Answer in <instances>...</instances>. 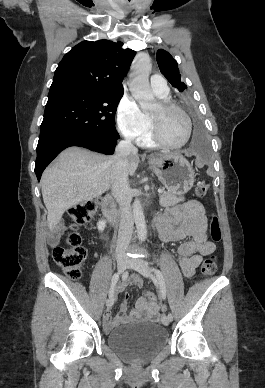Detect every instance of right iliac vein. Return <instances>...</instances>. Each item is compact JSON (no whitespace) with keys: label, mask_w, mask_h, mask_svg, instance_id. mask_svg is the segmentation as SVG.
Masks as SVG:
<instances>
[{"label":"right iliac vein","mask_w":265,"mask_h":388,"mask_svg":"<svg viewBox=\"0 0 265 388\" xmlns=\"http://www.w3.org/2000/svg\"><path fill=\"white\" fill-rule=\"evenodd\" d=\"M128 266V261L126 258L124 257H118L117 258V270L119 273H122L124 272V270L127 268ZM114 303V298L113 297H109L107 300H106V306L109 308L113 305Z\"/></svg>","instance_id":"obj_1"}]
</instances>
